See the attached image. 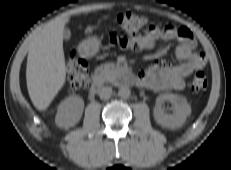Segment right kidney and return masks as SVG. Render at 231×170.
I'll list each match as a JSON object with an SVG mask.
<instances>
[{
    "label": "right kidney",
    "mask_w": 231,
    "mask_h": 170,
    "mask_svg": "<svg viewBox=\"0 0 231 170\" xmlns=\"http://www.w3.org/2000/svg\"><path fill=\"white\" fill-rule=\"evenodd\" d=\"M84 110V101L73 95L63 100L58 106L55 123L61 128H70L77 124Z\"/></svg>",
    "instance_id": "right-kidney-1"
}]
</instances>
